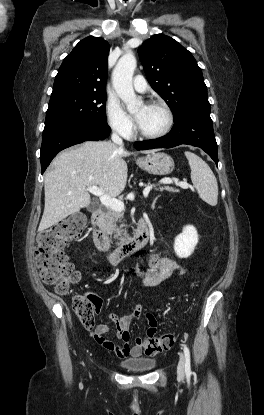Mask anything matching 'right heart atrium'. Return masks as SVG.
<instances>
[{
  "label": "right heart atrium",
  "instance_id": "right-heart-atrium-1",
  "mask_svg": "<svg viewBox=\"0 0 264 415\" xmlns=\"http://www.w3.org/2000/svg\"><path fill=\"white\" fill-rule=\"evenodd\" d=\"M106 113L108 123L115 133L125 138L132 137L135 129L133 120L123 110L116 98H108L106 103Z\"/></svg>",
  "mask_w": 264,
  "mask_h": 415
}]
</instances>
